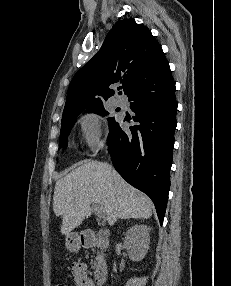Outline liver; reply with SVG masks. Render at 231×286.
Wrapping results in <instances>:
<instances>
[{"instance_id":"1","label":"liver","mask_w":231,"mask_h":286,"mask_svg":"<svg viewBox=\"0 0 231 286\" xmlns=\"http://www.w3.org/2000/svg\"><path fill=\"white\" fill-rule=\"evenodd\" d=\"M91 203L104 208L110 225L118 219H148L154 210L150 198L129 185L110 165L87 161L56 182L53 211L62 219V235L68 236L90 217Z\"/></svg>"}]
</instances>
